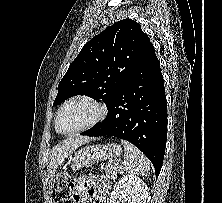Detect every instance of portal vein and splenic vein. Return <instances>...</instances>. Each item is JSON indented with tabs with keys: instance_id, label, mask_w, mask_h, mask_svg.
I'll return each instance as SVG.
<instances>
[{
	"instance_id": "1",
	"label": "portal vein and splenic vein",
	"mask_w": 222,
	"mask_h": 203,
	"mask_svg": "<svg viewBox=\"0 0 222 203\" xmlns=\"http://www.w3.org/2000/svg\"><path fill=\"white\" fill-rule=\"evenodd\" d=\"M118 171H119V172L121 171V167L118 168Z\"/></svg>"
}]
</instances>
